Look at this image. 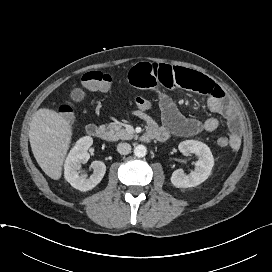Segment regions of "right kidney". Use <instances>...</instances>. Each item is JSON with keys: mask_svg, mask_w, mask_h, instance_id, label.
<instances>
[{"mask_svg": "<svg viewBox=\"0 0 272 272\" xmlns=\"http://www.w3.org/2000/svg\"><path fill=\"white\" fill-rule=\"evenodd\" d=\"M93 144V139L90 136L80 138L75 146L71 149L64 165L65 179L72 187L80 191H88L93 189L102 180L106 166L102 161H94L92 163L93 173L79 174L78 170L82 163H86L90 155L88 153L89 147Z\"/></svg>", "mask_w": 272, "mask_h": 272, "instance_id": "right-kidney-1", "label": "right kidney"}]
</instances>
